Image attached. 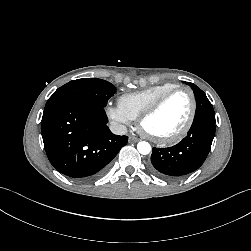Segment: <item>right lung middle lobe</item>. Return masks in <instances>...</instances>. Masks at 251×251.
Instances as JSON below:
<instances>
[{
  "label": "right lung middle lobe",
  "instance_id": "obj_1",
  "mask_svg": "<svg viewBox=\"0 0 251 251\" xmlns=\"http://www.w3.org/2000/svg\"><path fill=\"white\" fill-rule=\"evenodd\" d=\"M116 88L108 81L97 78L73 80L58 88L48 99L46 106L65 101H76L105 107Z\"/></svg>",
  "mask_w": 251,
  "mask_h": 251
}]
</instances>
